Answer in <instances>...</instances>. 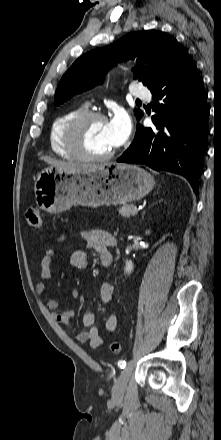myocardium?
<instances>
[{
  "instance_id": "1",
  "label": "myocardium",
  "mask_w": 221,
  "mask_h": 440,
  "mask_svg": "<svg viewBox=\"0 0 221 440\" xmlns=\"http://www.w3.org/2000/svg\"><path fill=\"white\" fill-rule=\"evenodd\" d=\"M92 120L107 121V117L104 113L99 111H84L75 116L68 123L64 133L66 148L76 159L84 161L108 160L114 156L116 152L114 148L105 154L94 155L89 153L83 145V129L85 125Z\"/></svg>"
}]
</instances>
